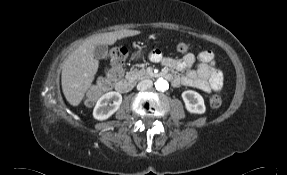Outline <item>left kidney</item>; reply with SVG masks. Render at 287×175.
I'll return each instance as SVG.
<instances>
[{"mask_svg":"<svg viewBox=\"0 0 287 175\" xmlns=\"http://www.w3.org/2000/svg\"><path fill=\"white\" fill-rule=\"evenodd\" d=\"M182 98L186 109L191 113L202 114L205 112V105L203 97L192 90L184 91Z\"/></svg>","mask_w":287,"mask_h":175,"instance_id":"5707ae66","label":"left kidney"}]
</instances>
